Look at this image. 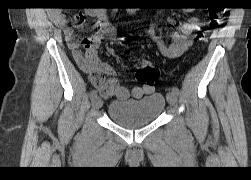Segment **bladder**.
Masks as SVG:
<instances>
[{"instance_id":"bladder-1","label":"bladder","mask_w":251,"mask_h":180,"mask_svg":"<svg viewBox=\"0 0 251 180\" xmlns=\"http://www.w3.org/2000/svg\"><path fill=\"white\" fill-rule=\"evenodd\" d=\"M165 105V97L156 92L140 100H114L109 104L107 112L114 123L125 128H138L156 121Z\"/></svg>"}]
</instances>
